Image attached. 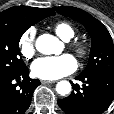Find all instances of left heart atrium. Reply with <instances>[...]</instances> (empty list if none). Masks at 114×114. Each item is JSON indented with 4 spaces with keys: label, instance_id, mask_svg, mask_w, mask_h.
Returning <instances> with one entry per match:
<instances>
[{
    "label": "left heart atrium",
    "instance_id": "obj_1",
    "mask_svg": "<svg viewBox=\"0 0 114 114\" xmlns=\"http://www.w3.org/2000/svg\"><path fill=\"white\" fill-rule=\"evenodd\" d=\"M77 62L70 54L36 59L31 65L32 74L40 79L55 80L73 73Z\"/></svg>",
    "mask_w": 114,
    "mask_h": 114
}]
</instances>
